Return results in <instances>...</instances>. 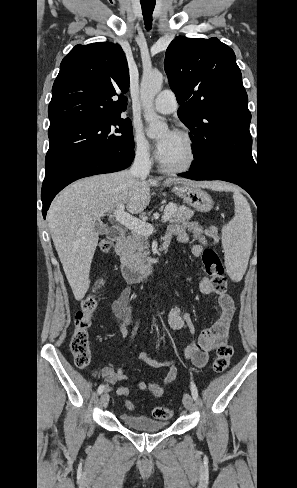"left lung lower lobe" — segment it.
<instances>
[{
  "label": "left lung lower lobe",
  "instance_id": "1",
  "mask_svg": "<svg viewBox=\"0 0 297 488\" xmlns=\"http://www.w3.org/2000/svg\"><path fill=\"white\" fill-rule=\"evenodd\" d=\"M178 175L192 180H223L235 183L246 190L255 202L258 200L255 169L235 161L217 160L191 167L188 172Z\"/></svg>",
  "mask_w": 297,
  "mask_h": 488
}]
</instances>
